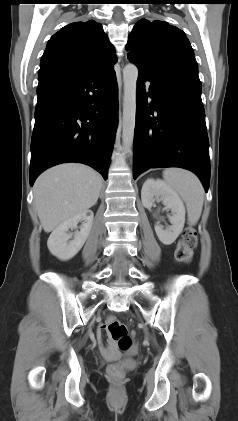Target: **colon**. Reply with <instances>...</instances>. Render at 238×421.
<instances>
[{
	"label": "colon",
	"mask_w": 238,
	"mask_h": 421,
	"mask_svg": "<svg viewBox=\"0 0 238 421\" xmlns=\"http://www.w3.org/2000/svg\"><path fill=\"white\" fill-rule=\"evenodd\" d=\"M196 244V231L193 228L184 229L175 249V259L183 263L190 262ZM104 328L108 331L111 338L116 342L121 351L127 352L131 349L132 340L125 324L115 317H110L106 321ZM108 374L114 380H121L124 376V370L118 364H111L108 367Z\"/></svg>",
	"instance_id": "obj_1"
}]
</instances>
